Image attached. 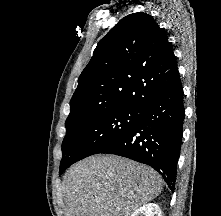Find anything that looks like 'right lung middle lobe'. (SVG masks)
<instances>
[{
  "label": "right lung middle lobe",
  "mask_w": 221,
  "mask_h": 216,
  "mask_svg": "<svg viewBox=\"0 0 221 216\" xmlns=\"http://www.w3.org/2000/svg\"><path fill=\"white\" fill-rule=\"evenodd\" d=\"M139 107H122L93 114L75 124L65 126L60 173L71 164L101 153L135 125Z\"/></svg>",
  "instance_id": "1"
}]
</instances>
